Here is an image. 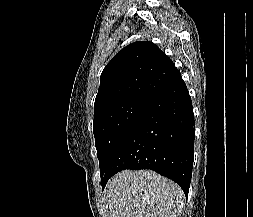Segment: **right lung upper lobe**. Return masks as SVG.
Instances as JSON below:
<instances>
[{"instance_id":"1","label":"right lung upper lobe","mask_w":253,"mask_h":217,"mask_svg":"<svg viewBox=\"0 0 253 217\" xmlns=\"http://www.w3.org/2000/svg\"><path fill=\"white\" fill-rule=\"evenodd\" d=\"M180 77L171 59L152 42L132 43L117 53L101 74L94 114L128 98L151 100Z\"/></svg>"}]
</instances>
